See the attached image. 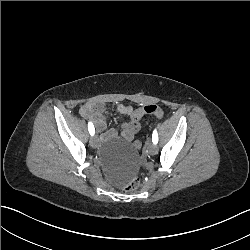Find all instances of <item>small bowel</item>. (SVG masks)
I'll list each match as a JSON object with an SVG mask.
<instances>
[{
    "mask_svg": "<svg viewBox=\"0 0 250 250\" xmlns=\"http://www.w3.org/2000/svg\"><path fill=\"white\" fill-rule=\"evenodd\" d=\"M134 109L130 106L119 105L118 112L129 118V122H124L121 124V136L124 140L130 141L133 139L134 135L140 130V122H133L130 119L131 112ZM80 114L91 120L98 132H103L106 128V117H105V105L101 102L85 103L80 107ZM115 137V132L110 130L106 133V138L108 140Z\"/></svg>",
    "mask_w": 250,
    "mask_h": 250,
    "instance_id": "small-bowel-1",
    "label": "small bowel"
}]
</instances>
